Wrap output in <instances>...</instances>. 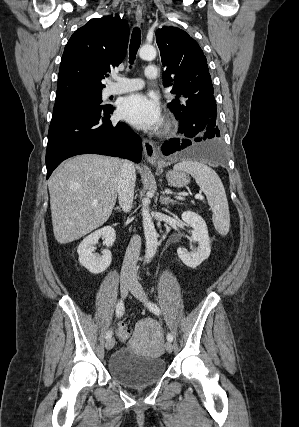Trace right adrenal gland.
I'll use <instances>...</instances> for the list:
<instances>
[{
    "label": "right adrenal gland",
    "instance_id": "2a0ac1e0",
    "mask_svg": "<svg viewBox=\"0 0 299 427\" xmlns=\"http://www.w3.org/2000/svg\"><path fill=\"white\" fill-rule=\"evenodd\" d=\"M114 210H118L119 212L122 211L120 207H115Z\"/></svg>",
    "mask_w": 299,
    "mask_h": 427
}]
</instances>
